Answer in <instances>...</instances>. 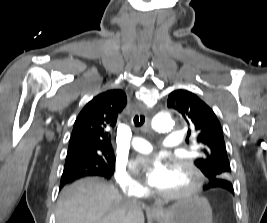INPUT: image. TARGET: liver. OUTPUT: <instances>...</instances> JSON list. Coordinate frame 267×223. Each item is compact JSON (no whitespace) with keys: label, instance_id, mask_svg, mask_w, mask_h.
I'll return each instance as SVG.
<instances>
[{"label":"liver","instance_id":"liver-1","mask_svg":"<svg viewBox=\"0 0 267 223\" xmlns=\"http://www.w3.org/2000/svg\"><path fill=\"white\" fill-rule=\"evenodd\" d=\"M142 208L105 180L85 178L61 191L56 223H144Z\"/></svg>","mask_w":267,"mask_h":223}]
</instances>
